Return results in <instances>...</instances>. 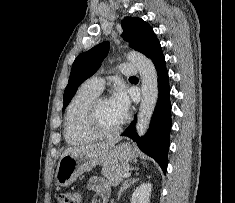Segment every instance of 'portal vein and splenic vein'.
I'll use <instances>...</instances> for the list:
<instances>
[{"label":"portal vein and splenic vein","instance_id":"obj_1","mask_svg":"<svg viewBox=\"0 0 235 203\" xmlns=\"http://www.w3.org/2000/svg\"><path fill=\"white\" fill-rule=\"evenodd\" d=\"M129 176H131V173H130V172H126V173L123 175L124 178H127V177H129Z\"/></svg>","mask_w":235,"mask_h":203}]
</instances>
